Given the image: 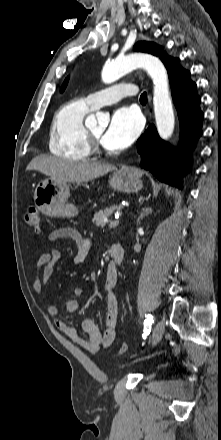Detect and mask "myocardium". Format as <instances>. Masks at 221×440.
<instances>
[{
	"mask_svg": "<svg viewBox=\"0 0 221 440\" xmlns=\"http://www.w3.org/2000/svg\"><path fill=\"white\" fill-rule=\"evenodd\" d=\"M86 136H87V142L89 144L91 153H100V141L99 138H97L93 133L86 128Z\"/></svg>",
	"mask_w": 221,
	"mask_h": 440,
	"instance_id": "1",
	"label": "myocardium"
}]
</instances>
